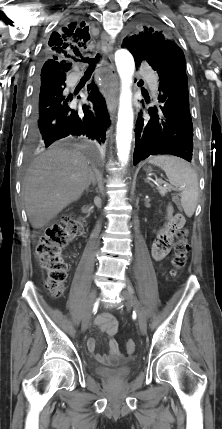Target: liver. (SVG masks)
I'll use <instances>...</instances> for the list:
<instances>
[{"label": "liver", "mask_w": 222, "mask_h": 429, "mask_svg": "<svg viewBox=\"0 0 222 429\" xmlns=\"http://www.w3.org/2000/svg\"><path fill=\"white\" fill-rule=\"evenodd\" d=\"M92 170L87 157L57 146L34 159L23 181V199L33 228L47 225L86 189Z\"/></svg>", "instance_id": "obj_1"}]
</instances>
